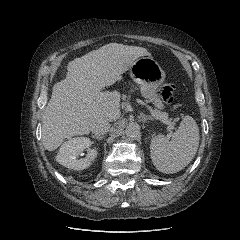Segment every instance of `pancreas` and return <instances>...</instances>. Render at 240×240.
I'll use <instances>...</instances> for the list:
<instances>
[{
	"label": "pancreas",
	"mask_w": 240,
	"mask_h": 240,
	"mask_svg": "<svg viewBox=\"0 0 240 240\" xmlns=\"http://www.w3.org/2000/svg\"><path fill=\"white\" fill-rule=\"evenodd\" d=\"M156 116L158 119L165 118L166 120H168V115L165 112L156 111Z\"/></svg>",
	"instance_id": "obj_1"
}]
</instances>
